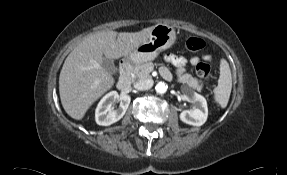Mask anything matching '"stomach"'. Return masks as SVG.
I'll list each match as a JSON object with an SVG mask.
<instances>
[{"label":"stomach","mask_w":287,"mask_h":175,"mask_svg":"<svg viewBox=\"0 0 287 175\" xmlns=\"http://www.w3.org/2000/svg\"><path fill=\"white\" fill-rule=\"evenodd\" d=\"M175 41L176 32L173 27L157 24L153 27L148 40L130 52L126 59L135 64L153 60L161 51L170 48Z\"/></svg>","instance_id":"obj_1"}]
</instances>
